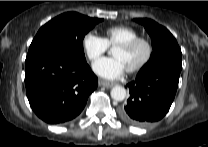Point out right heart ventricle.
Masks as SVG:
<instances>
[{"label": "right heart ventricle", "mask_w": 208, "mask_h": 147, "mask_svg": "<svg viewBox=\"0 0 208 147\" xmlns=\"http://www.w3.org/2000/svg\"><path fill=\"white\" fill-rule=\"evenodd\" d=\"M139 36L137 30L130 26L118 25L106 29L105 37L108 46H117L118 44L131 40Z\"/></svg>", "instance_id": "e07e8e85"}]
</instances>
